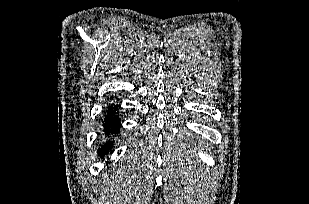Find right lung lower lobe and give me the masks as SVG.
<instances>
[{
    "label": "right lung lower lobe",
    "mask_w": 309,
    "mask_h": 204,
    "mask_svg": "<svg viewBox=\"0 0 309 204\" xmlns=\"http://www.w3.org/2000/svg\"><path fill=\"white\" fill-rule=\"evenodd\" d=\"M119 106L113 104L107 107L102 119L103 133L107 141L101 145L98 152L99 155L104 157L107 155L113 147L114 137H116L120 131L121 123L119 118Z\"/></svg>",
    "instance_id": "1"
}]
</instances>
